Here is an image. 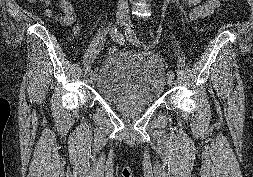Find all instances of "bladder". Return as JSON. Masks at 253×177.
Returning <instances> with one entry per match:
<instances>
[{"label": "bladder", "mask_w": 253, "mask_h": 177, "mask_svg": "<svg viewBox=\"0 0 253 177\" xmlns=\"http://www.w3.org/2000/svg\"><path fill=\"white\" fill-rule=\"evenodd\" d=\"M96 92L105 102L156 103L163 94L165 76L158 56L150 53L117 52L106 59L95 80Z\"/></svg>", "instance_id": "obj_1"}]
</instances>
